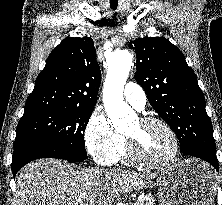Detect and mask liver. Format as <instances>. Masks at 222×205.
<instances>
[{"label":"liver","instance_id":"1","mask_svg":"<svg viewBox=\"0 0 222 205\" xmlns=\"http://www.w3.org/2000/svg\"><path fill=\"white\" fill-rule=\"evenodd\" d=\"M155 177L129 170H75L65 160L39 159L17 177L16 204L110 205L121 194L144 189Z\"/></svg>","mask_w":222,"mask_h":205}]
</instances>
